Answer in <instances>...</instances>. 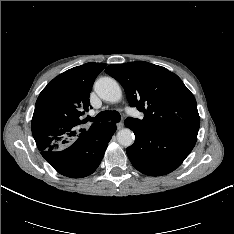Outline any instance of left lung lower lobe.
I'll return each instance as SVG.
<instances>
[{
  "instance_id": "left-lung-lower-lobe-1",
  "label": "left lung lower lobe",
  "mask_w": 234,
  "mask_h": 234,
  "mask_svg": "<svg viewBox=\"0 0 234 234\" xmlns=\"http://www.w3.org/2000/svg\"><path fill=\"white\" fill-rule=\"evenodd\" d=\"M125 126L135 134V142L126 149L132 165L150 176L165 175L181 165L192 151L198 130L153 128L132 120Z\"/></svg>"
}]
</instances>
